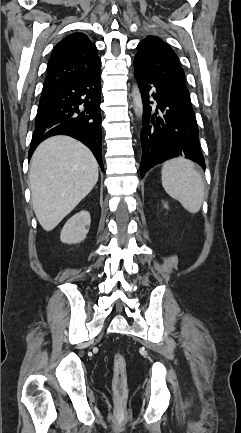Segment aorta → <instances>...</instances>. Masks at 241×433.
Segmentation results:
<instances>
[{
  "label": "aorta",
  "mask_w": 241,
  "mask_h": 433,
  "mask_svg": "<svg viewBox=\"0 0 241 433\" xmlns=\"http://www.w3.org/2000/svg\"><path fill=\"white\" fill-rule=\"evenodd\" d=\"M132 97H133V106H134L135 113L138 117H141L143 113V104H142L141 94L137 86H134L133 88Z\"/></svg>",
  "instance_id": "762f6f07"
}]
</instances>
